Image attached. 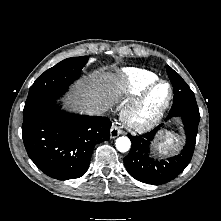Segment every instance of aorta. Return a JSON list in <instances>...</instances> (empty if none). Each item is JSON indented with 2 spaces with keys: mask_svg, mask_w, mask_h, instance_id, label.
I'll return each mask as SVG.
<instances>
[{
  "mask_svg": "<svg viewBox=\"0 0 221 221\" xmlns=\"http://www.w3.org/2000/svg\"><path fill=\"white\" fill-rule=\"evenodd\" d=\"M116 148L118 151L124 153L127 152L131 147V142L128 137L122 136L116 140Z\"/></svg>",
  "mask_w": 221,
  "mask_h": 221,
  "instance_id": "aorta-1",
  "label": "aorta"
}]
</instances>
